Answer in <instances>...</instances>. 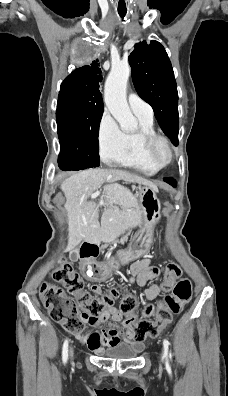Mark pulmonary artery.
Here are the masks:
<instances>
[{
  "label": "pulmonary artery",
  "mask_w": 228,
  "mask_h": 396,
  "mask_svg": "<svg viewBox=\"0 0 228 396\" xmlns=\"http://www.w3.org/2000/svg\"><path fill=\"white\" fill-rule=\"evenodd\" d=\"M128 104L133 113L137 115L153 117L152 107L136 93H129Z\"/></svg>",
  "instance_id": "1"
}]
</instances>
